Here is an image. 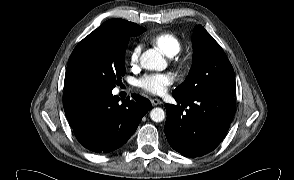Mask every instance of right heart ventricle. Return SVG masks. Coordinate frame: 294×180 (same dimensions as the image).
Segmentation results:
<instances>
[{
    "label": "right heart ventricle",
    "mask_w": 294,
    "mask_h": 180,
    "mask_svg": "<svg viewBox=\"0 0 294 180\" xmlns=\"http://www.w3.org/2000/svg\"><path fill=\"white\" fill-rule=\"evenodd\" d=\"M150 42L168 57L177 55L182 49L178 37L168 32L156 34L150 39Z\"/></svg>",
    "instance_id": "right-heart-ventricle-1"
}]
</instances>
